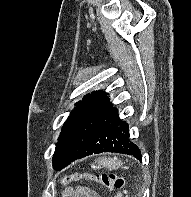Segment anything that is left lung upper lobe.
Segmentation results:
<instances>
[{"mask_svg":"<svg viewBox=\"0 0 191 197\" xmlns=\"http://www.w3.org/2000/svg\"><path fill=\"white\" fill-rule=\"evenodd\" d=\"M105 94L106 93L103 91L92 92L91 94L84 96L82 101H79L78 103H76V108L74 109V111L71 112L70 116L68 117L67 121L65 122V124L62 128V132L60 133V136H59V141L56 144V148H55L56 150L53 155V167L55 169L58 167V165L60 164L61 161L68 158L69 155L72 153L73 148L71 147V145L68 141L67 130H68V126L70 124V121L72 120V116H73L74 112L86 100H88L90 98H92V99L102 98Z\"/></svg>","mask_w":191,"mask_h":197,"instance_id":"obj_1","label":"left lung upper lobe"}]
</instances>
